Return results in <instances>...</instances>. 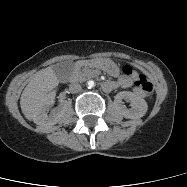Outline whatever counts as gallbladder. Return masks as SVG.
<instances>
[{"label": "gallbladder", "mask_w": 187, "mask_h": 187, "mask_svg": "<svg viewBox=\"0 0 187 187\" xmlns=\"http://www.w3.org/2000/svg\"><path fill=\"white\" fill-rule=\"evenodd\" d=\"M73 63L65 61L54 65L53 70L60 81L66 80L72 71Z\"/></svg>", "instance_id": "1"}]
</instances>
